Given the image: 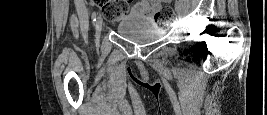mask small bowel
I'll list each match as a JSON object with an SVG mask.
<instances>
[{"label": "small bowel", "instance_id": "c3829d8e", "mask_svg": "<svg viewBox=\"0 0 267 115\" xmlns=\"http://www.w3.org/2000/svg\"><path fill=\"white\" fill-rule=\"evenodd\" d=\"M163 0H143L131 8L130 17L143 20H153L156 9Z\"/></svg>", "mask_w": 267, "mask_h": 115}]
</instances>
